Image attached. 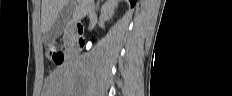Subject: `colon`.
<instances>
[{
  "mask_svg": "<svg viewBox=\"0 0 232 96\" xmlns=\"http://www.w3.org/2000/svg\"><path fill=\"white\" fill-rule=\"evenodd\" d=\"M48 58L55 64H61L64 59V55L61 50L58 49L57 46L51 45L47 50Z\"/></svg>",
  "mask_w": 232,
  "mask_h": 96,
  "instance_id": "1",
  "label": "colon"
}]
</instances>
